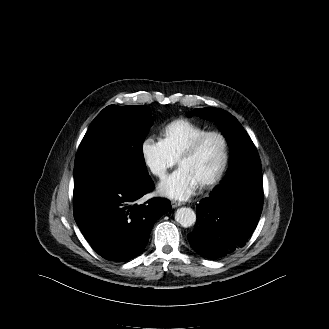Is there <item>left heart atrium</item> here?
Wrapping results in <instances>:
<instances>
[{"instance_id":"39dd6f15","label":"left heart atrium","mask_w":329,"mask_h":329,"mask_svg":"<svg viewBox=\"0 0 329 329\" xmlns=\"http://www.w3.org/2000/svg\"><path fill=\"white\" fill-rule=\"evenodd\" d=\"M199 182L183 167H179L158 186V192L171 199L186 200L195 193Z\"/></svg>"}]
</instances>
